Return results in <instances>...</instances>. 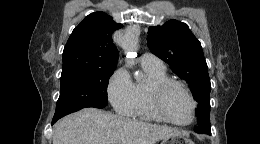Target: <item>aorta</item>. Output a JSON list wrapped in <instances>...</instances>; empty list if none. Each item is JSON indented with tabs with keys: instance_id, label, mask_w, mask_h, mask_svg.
I'll use <instances>...</instances> for the list:
<instances>
[{
	"instance_id": "aorta-1",
	"label": "aorta",
	"mask_w": 260,
	"mask_h": 144,
	"mask_svg": "<svg viewBox=\"0 0 260 144\" xmlns=\"http://www.w3.org/2000/svg\"><path fill=\"white\" fill-rule=\"evenodd\" d=\"M121 46L125 53L130 54L138 48V34L135 31H128L124 34Z\"/></svg>"
}]
</instances>
